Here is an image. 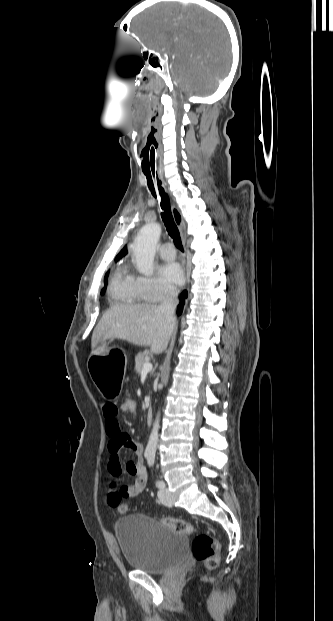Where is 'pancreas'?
Segmentation results:
<instances>
[{
  "label": "pancreas",
  "instance_id": "1",
  "mask_svg": "<svg viewBox=\"0 0 333 621\" xmlns=\"http://www.w3.org/2000/svg\"><path fill=\"white\" fill-rule=\"evenodd\" d=\"M149 361L148 352L139 353L135 356V371L141 374L144 363Z\"/></svg>",
  "mask_w": 333,
  "mask_h": 621
}]
</instances>
